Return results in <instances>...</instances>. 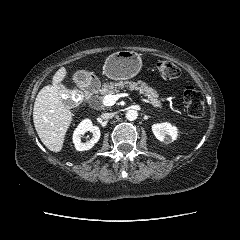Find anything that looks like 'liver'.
<instances>
[{
    "label": "liver",
    "instance_id": "6515ba94",
    "mask_svg": "<svg viewBox=\"0 0 240 240\" xmlns=\"http://www.w3.org/2000/svg\"><path fill=\"white\" fill-rule=\"evenodd\" d=\"M67 71L61 67L52 78V85L43 87L34 103L33 122L42 143L53 152H60L66 132L72 122V112L60 97L59 83Z\"/></svg>",
    "mask_w": 240,
    "mask_h": 240
}]
</instances>
